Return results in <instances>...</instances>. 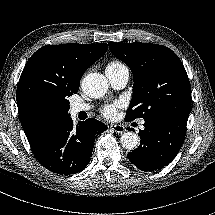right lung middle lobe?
I'll return each mask as SVG.
<instances>
[{"instance_id":"obj_1","label":"right lung middle lobe","mask_w":215,"mask_h":215,"mask_svg":"<svg viewBox=\"0 0 215 215\" xmlns=\"http://www.w3.org/2000/svg\"><path fill=\"white\" fill-rule=\"evenodd\" d=\"M70 106H69V101L66 99L64 101H62L61 103H59L57 105V109L64 115L68 116L70 114H68V110H69Z\"/></svg>"}]
</instances>
